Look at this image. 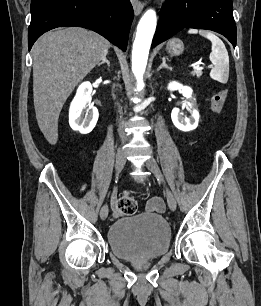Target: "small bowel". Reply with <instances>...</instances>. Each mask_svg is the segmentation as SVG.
Masks as SVG:
<instances>
[{
	"label": "small bowel",
	"mask_w": 261,
	"mask_h": 306,
	"mask_svg": "<svg viewBox=\"0 0 261 306\" xmlns=\"http://www.w3.org/2000/svg\"><path fill=\"white\" fill-rule=\"evenodd\" d=\"M115 214H118V210L116 209L115 201L112 202ZM147 209L149 211H155V212H163L165 210L164 202L159 197H153L151 198L147 203Z\"/></svg>",
	"instance_id": "1"
}]
</instances>
